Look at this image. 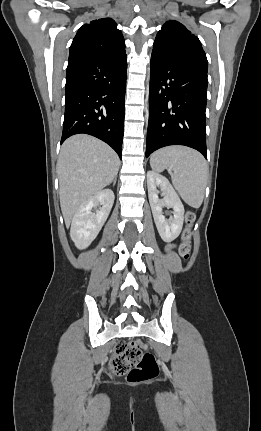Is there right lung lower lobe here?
Listing matches in <instances>:
<instances>
[{"label": "right lung lower lobe", "instance_id": "98d812e1", "mask_svg": "<svg viewBox=\"0 0 261 431\" xmlns=\"http://www.w3.org/2000/svg\"><path fill=\"white\" fill-rule=\"evenodd\" d=\"M127 56L68 62L61 143L85 133L109 144L121 158Z\"/></svg>", "mask_w": 261, "mask_h": 431}]
</instances>
